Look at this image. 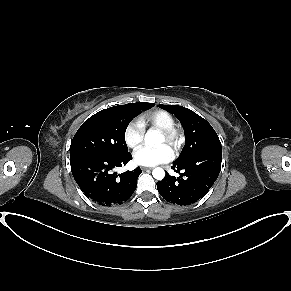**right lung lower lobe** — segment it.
<instances>
[{
	"instance_id": "98d812e1",
	"label": "right lung lower lobe",
	"mask_w": 291,
	"mask_h": 291,
	"mask_svg": "<svg viewBox=\"0 0 291 291\" xmlns=\"http://www.w3.org/2000/svg\"><path fill=\"white\" fill-rule=\"evenodd\" d=\"M131 159L130 152L119 156L81 155L70 158V165L84 194L99 205L111 206L127 201L136 189L140 167L121 174L114 172Z\"/></svg>"
}]
</instances>
